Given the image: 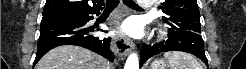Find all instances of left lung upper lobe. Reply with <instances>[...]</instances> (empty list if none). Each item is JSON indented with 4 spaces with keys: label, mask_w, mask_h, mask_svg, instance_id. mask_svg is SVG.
I'll return each instance as SVG.
<instances>
[{
    "label": "left lung upper lobe",
    "mask_w": 246,
    "mask_h": 69,
    "mask_svg": "<svg viewBox=\"0 0 246 69\" xmlns=\"http://www.w3.org/2000/svg\"><path fill=\"white\" fill-rule=\"evenodd\" d=\"M159 8L165 13L162 20L171 27L169 30L201 33L196 0H165Z\"/></svg>",
    "instance_id": "1"
}]
</instances>
